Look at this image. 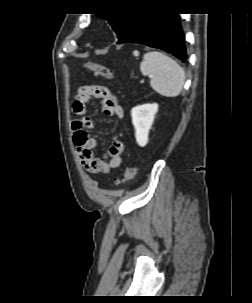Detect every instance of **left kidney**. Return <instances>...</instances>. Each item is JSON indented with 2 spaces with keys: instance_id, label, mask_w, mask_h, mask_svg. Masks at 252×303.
<instances>
[{
  "instance_id": "1",
  "label": "left kidney",
  "mask_w": 252,
  "mask_h": 303,
  "mask_svg": "<svg viewBox=\"0 0 252 303\" xmlns=\"http://www.w3.org/2000/svg\"><path fill=\"white\" fill-rule=\"evenodd\" d=\"M157 111V103L139 105L131 110L132 123L135 128V138L141 147L146 146L148 143L149 130L152 127Z\"/></svg>"
}]
</instances>
